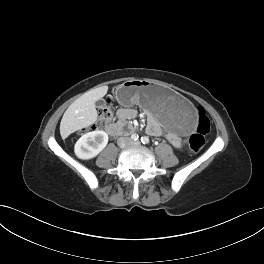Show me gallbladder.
Listing matches in <instances>:
<instances>
[{"mask_svg":"<svg viewBox=\"0 0 264 264\" xmlns=\"http://www.w3.org/2000/svg\"><path fill=\"white\" fill-rule=\"evenodd\" d=\"M104 104H105V101H104L103 99L97 100V101L95 102V105H96L97 107L103 106Z\"/></svg>","mask_w":264,"mask_h":264,"instance_id":"bac80fb5","label":"gallbladder"}]
</instances>
